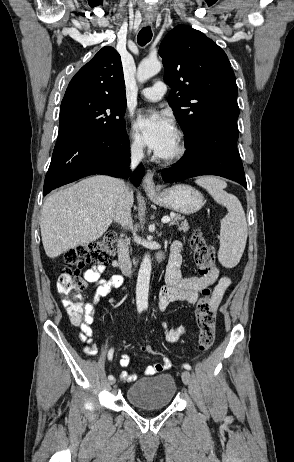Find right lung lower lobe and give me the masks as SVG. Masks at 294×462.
I'll return each mask as SVG.
<instances>
[{
  "label": "right lung lower lobe",
  "instance_id": "obj_1",
  "mask_svg": "<svg viewBox=\"0 0 294 462\" xmlns=\"http://www.w3.org/2000/svg\"><path fill=\"white\" fill-rule=\"evenodd\" d=\"M130 144L125 129L98 134H77L58 140L45 177L43 195L62 185L92 174L127 178ZM144 168L132 175L138 186Z\"/></svg>",
  "mask_w": 294,
  "mask_h": 462
}]
</instances>
